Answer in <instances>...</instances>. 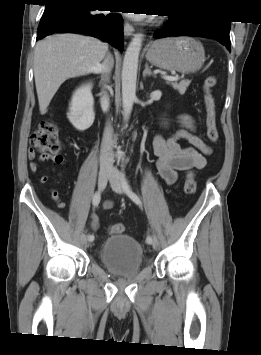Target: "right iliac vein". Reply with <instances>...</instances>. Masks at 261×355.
<instances>
[{"instance_id": "right-iliac-vein-1", "label": "right iliac vein", "mask_w": 261, "mask_h": 355, "mask_svg": "<svg viewBox=\"0 0 261 355\" xmlns=\"http://www.w3.org/2000/svg\"><path fill=\"white\" fill-rule=\"evenodd\" d=\"M111 171L109 169H101L98 177V186L101 190H103L107 184V180L110 177ZM81 242L86 244L87 238L85 234L81 235Z\"/></svg>"}]
</instances>
